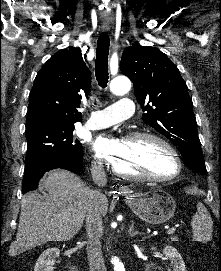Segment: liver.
Returning <instances> with one entry per match:
<instances>
[{
	"label": "liver",
	"mask_w": 221,
	"mask_h": 271,
	"mask_svg": "<svg viewBox=\"0 0 221 271\" xmlns=\"http://www.w3.org/2000/svg\"><path fill=\"white\" fill-rule=\"evenodd\" d=\"M40 185L45 187L48 197L39 191L22 195L18 231L9 255H19L45 241H68L82 227L91 189L81 177L67 169H54ZM99 205L102 215H106L107 197H101Z\"/></svg>",
	"instance_id": "liver-1"
}]
</instances>
